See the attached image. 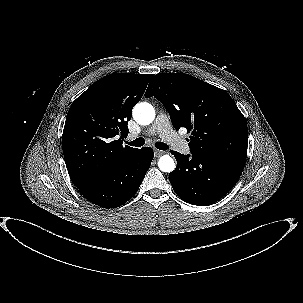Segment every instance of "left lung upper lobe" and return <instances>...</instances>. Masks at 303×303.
I'll list each match as a JSON object with an SVG mask.
<instances>
[{
  "label": "left lung upper lobe",
  "instance_id": "left-lung-upper-lobe-1",
  "mask_svg": "<svg viewBox=\"0 0 303 303\" xmlns=\"http://www.w3.org/2000/svg\"><path fill=\"white\" fill-rule=\"evenodd\" d=\"M151 96L165 106L176 130L192 132V153L246 159V119L226 91L185 73H159L146 90Z\"/></svg>",
  "mask_w": 303,
  "mask_h": 303
}]
</instances>
